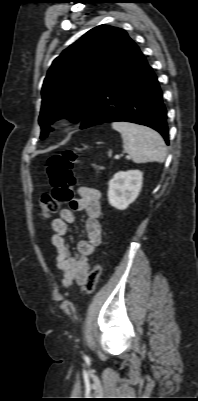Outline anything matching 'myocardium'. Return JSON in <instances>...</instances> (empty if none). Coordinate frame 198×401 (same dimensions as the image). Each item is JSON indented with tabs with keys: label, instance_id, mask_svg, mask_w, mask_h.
<instances>
[{
	"label": "myocardium",
	"instance_id": "1",
	"mask_svg": "<svg viewBox=\"0 0 198 401\" xmlns=\"http://www.w3.org/2000/svg\"><path fill=\"white\" fill-rule=\"evenodd\" d=\"M57 125H58V127H60V128L67 129V128L70 127L71 122H70V120H68V119H58V120H57Z\"/></svg>",
	"mask_w": 198,
	"mask_h": 401
}]
</instances>
